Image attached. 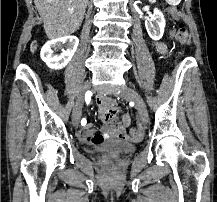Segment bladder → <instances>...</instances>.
Returning a JSON list of instances; mask_svg holds the SVG:
<instances>
[{
  "mask_svg": "<svg viewBox=\"0 0 217 202\" xmlns=\"http://www.w3.org/2000/svg\"><path fill=\"white\" fill-rule=\"evenodd\" d=\"M135 149H136L135 145L121 140H110L103 144L92 146L90 148L92 152L106 150V151H115L117 153L124 152L127 154L132 153Z\"/></svg>",
  "mask_w": 217,
  "mask_h": 202,
  "instance_id": "1",
  "label": "bladder"
}]
</instances>
